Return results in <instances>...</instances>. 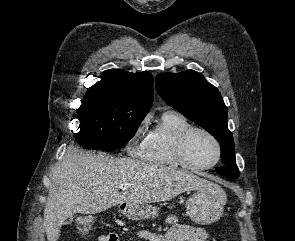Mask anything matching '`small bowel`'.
I'll return each instance as SVG.
<instances>
[{"label": "small bowel", "mask_w": 295, "mask_h": 241, "mask_svg": "<svg viewBox=\"0 0 295 241\" xmlns=\"http://www.w3.org/2000/svg\"><path fill=\"white\" fill-rule=\"evenodd\" d=\"M166 220L170 228L165 235L139 231L137 236L147 241H208V234L203 228L182 224L176 216H168ZM99 241H120V239L117 234L109 233L101 236Z\"/></svg>", "instance_id": "small-bowel-1"}]
</instances>
